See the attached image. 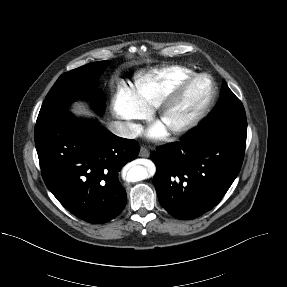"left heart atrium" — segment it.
<instances>
[{
	"label": "left heart atrium",
	"instance_id": "39dd6f15",
	"mask_svg": "<svg viewBox=\"0 0 287 287\" xmlns=\"http://www.w3.org/2000/svg\"><path fill=\"white\" fill-rule=\"evenodd\" d=\"M164 134V128L162 125L158 124L155 125L151 130L149 131V136L150 137H159Z\"/></svg>",
	"mask_w": 287,
	"mask_h": 287
}]
</instances>
